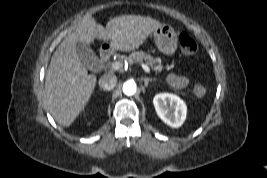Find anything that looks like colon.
Masks as SVG:
<instances>
[{"instance_id": "5ec220e1", "label": "colon", "mask_w": 267, "mask_h": 178, "mask_svg": "<svg viewBox=\"0 0 267 178\" xmlns=\"http://www.w3.org/2000/svg\"><path fill=\"white\" fill-rule=\"evenodd\" d=\"M181 45L183 50L188 54H193L196 51L195 43L186 35L181 37Z\"/></svg>"}]
</instances>
